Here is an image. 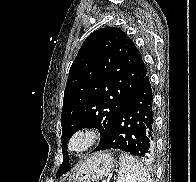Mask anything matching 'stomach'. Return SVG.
<instances>
[{
    "label": "stomach",
    "instance_id": "0dacf381",
    "mask_svg": "<svg viewBox=\"0 0 196 182\" xmlns=\"http://www.w3.org/2000/svg\"><path fill=\"white\" fill-rule=\"evenodd\" d=\"M114 167L111 154L97 152L84 159L76 168L68 182H91L107 176Z\"/></svg>",
    "mask_w": 196,
    "mask_h": 182
}]
</instances>
